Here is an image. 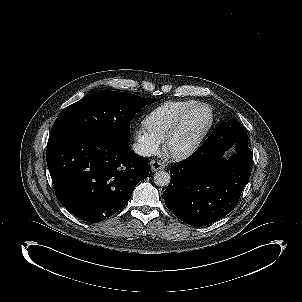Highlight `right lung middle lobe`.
I'll list each match as a JSON object with an SVG mask.
<instances>
[{"label": "right lung middle lobe", "mask_w": 302, "mask_h": 302, "mask_svg": "<svg viewBox=\"0 0 302 302\" xmlns=\"http://www.w3.org/2000/svg\"><path fill=\"white\" fill-rule=\"evenodd\" d=\"M156 100L118 91L89 94L58 115L49 140L80 133H97L128 144L130 121L140 109Z\"/></svg>", "instance_id": "obj_1"}]
</instances>
